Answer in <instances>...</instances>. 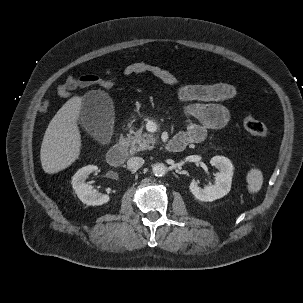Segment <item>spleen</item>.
Listing matches in <instances>:
<instances>
[{"instance_id":"3e777b00","label":"spleen","mask_w":303,"mask_h":303,"mask_svg":"<svg viewBox=\"0 0 303 303\" xmlns=\"http://www.w3.org/2000/svg\"><path fill=\"white\" fill-rule=\"evenodd\" d=\"M247 187L250 193L258 192L263 183L262 172L257 168H252L246 176Z\"/></svg>"}]
</instances>
